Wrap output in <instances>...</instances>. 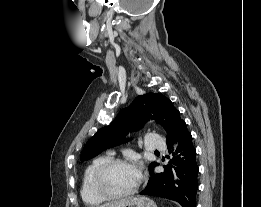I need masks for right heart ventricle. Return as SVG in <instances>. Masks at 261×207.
Returning <instances> with one entry per match:
<instances>
[{
  "label": "right heart ventricle",
  "instance_id": "1",
  "mask_svg": "<svg viewBox=\"0 0 261 207\" xmlns=\"http://www.w3.org/2000/svg\"><path fill=\"white\" fill-rule=\"evenodd\" d=\"M110 159H112L111 155H103L93 159L83 173L80 193L83 201L89 206H98L105 201L94 188V175L97 169Z\"/></svg>",
  "mask_w": 261,
  "mask_h": 207
}]
</instances>
